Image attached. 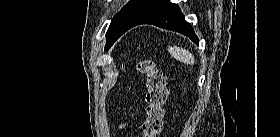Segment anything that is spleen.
Returning a JSON list of instances; mask_svg holds the SVG:
<instances>
[{
    "label": "spleen",
    "mask_w": 280,
    "mask_h": 137,
    "mask_svg": "<svg viewBox=\"0 0 280 137\" xmlns=\"http://www.w3.org/2000/svg\"><path fill=\"white\" fill-rule=\"evenodd\" d=\"M170 55L185 64L193 65L195 63L194 55H192L188 50L178 47V46H169L167 48Z\"/></svg>",
    "instance_id": "1"
}]
</instances>
